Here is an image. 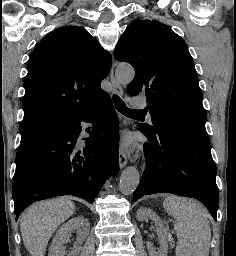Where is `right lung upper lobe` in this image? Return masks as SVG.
Returning a JSON list of instances; mask_svg holds the SVG:
<instances>
[{
  "label": "right lung upper lobe",
  "mask_w": 236,
  "mask_h": 256,
  "mask_svg": "<svg viewBox=\"0 0 236 256\" xmlns=\"http://www.w3.org/2000/svg\"><path fill=\"white\" fill-rule=\"evenodd\" d=\"M112 59L88 31L62 26L47 34L28 61L23 120L69 119L108 96L100 87Z\"/></svg>",
  "instance_id": "1"
}]
</instances>
